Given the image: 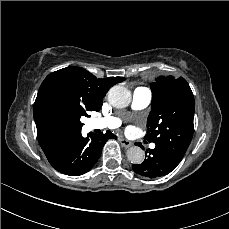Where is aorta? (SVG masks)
<instances>
[{"label": "aorta", "instance_id": "obj_1", "mask_svg": "<svg viewBox=\"0 0 229 229\" xmlns=\"http://www.w3.org/2000/svg\"><path fill=\"white\" fill-rule=\"evenodd\" d=\"M108 101L115 108H125L131 102V92L124 86L115 85L108 92ZM127 158L132 164H141L145 153L142 148L132 146L127 150Z\"/></svg>", "mask_w": 229, "mask_h": 229}]
</instances>
